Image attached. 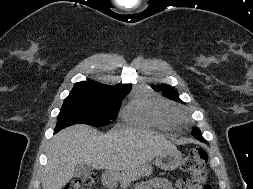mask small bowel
<instances>
[{"label":"small bowel","instance_id":"1","mask_svg":"<svg viewBox=\"0 0 253 189\" xmlns=\"http://www.w3.org/2000/svg\"><path fill=\"white\" fill-rule=\"evenodd\" d=\"M173 189L170 182L165 178H159L154 181L141 184L137 189ZM193 189H199L198 187H193Z\"/></svg>","mask_w":253,"mask_h":189}]
</instances>
